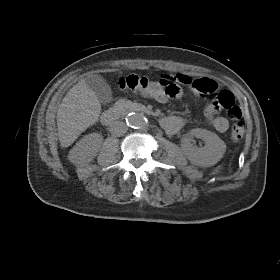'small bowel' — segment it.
Listing matches in <instances>:
<instances>
[{
    "instance_id": "1",
    "label": "small bowel",
    "mask_w": 280,
    "mask_h": 280,
    "mask_svg": "<svg viewBox=\"0 0 280 280\" xmlns=\"http://www.w3.org/2000/svg\"><path fill=\"white\" fill-rule=\"evenodd\" d=\"M175 78L181 85L187 87L196 96H202L205 94L200 92L198 88L204 87L206 83L211 82L215 84L217 88V83L208 78H194L187 74H177L175 75ZM205 117L216 131L225 132L228 130V120L222 116H215L212 104L206 106ZM185 124L186 120L183 117L168 116L163 118V123L161 125L168 134L173 135L179 132L185 126Z\"/></svg>"
}]
</instances>
